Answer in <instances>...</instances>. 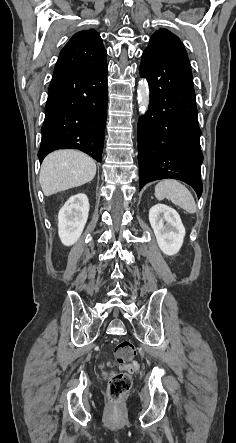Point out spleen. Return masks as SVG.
Segmentation results:
<instances>
[{"label": "spleen", "mask_w": 236, "mask_h": 443, "mask_svg": "<svg viewBox=\"0 0 236 443\" xmlns=\"http://www.w3.org/2000/svg\"><path fill=\"white\" fill-rule=\"evenodd\" d=\"M155 197L158 200L167 198L189 214L196 212V203L191 192L177 180L167 179L155 186Z\"/></svg>", "instance_id": "1"}]
</instances>
